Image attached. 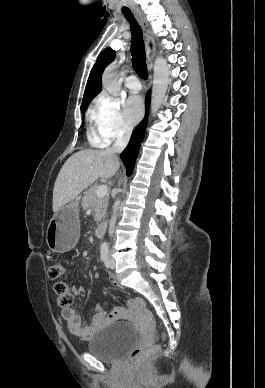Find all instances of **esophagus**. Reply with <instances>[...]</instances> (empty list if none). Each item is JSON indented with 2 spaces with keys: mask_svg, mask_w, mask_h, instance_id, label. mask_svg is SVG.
Segmentation results:
<instances>
[{
  "mask_svg": "<svg viewBox=\"0 0 265 388\" xmlns=\"http://www.w3.org/2000/svg\"><path fill=\"white\" fill-rule=\"evenodd\" d=\"M132 12L134 16L136 17L139 25H141V28L143 30L144 35V42H145V51H146V57L148 61H151L152 59V50L156 48V42L155 39L151 33L150 27L142 15V13L139 10L132 9ZM151 81V75L149 76Z\"/></svg>",
  "mask_w": 265,
  "mask_h": 388,
  "instance_id": "esophagus-1",
  "label": "esophagus"
}]
</instances>
